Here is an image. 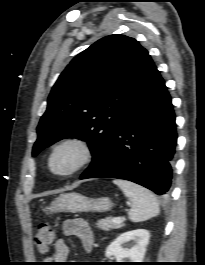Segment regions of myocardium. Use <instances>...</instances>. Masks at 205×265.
I'll return each mask as SVG.
<instances>
[{"instance_id":"f54148a6","label":"myocardium","mask_w":205,"mask_h":265,"mask_svg":"<svg viewBox=\"0 0 205 265\" xmlns=\"http://www.w3.org/2000/svg\"><path fill=\"white\" fill-rule=\"evenodd\" d=\"M65 146H73L75 147L79 152V157L77 162L67 171L64 172H58L55 171L52 167V159L55 153L65 147ZM94 157V150L92 145L87 141L86 139L78 136H71L66 137L57 143H55L49 150L47 157H46V168L48 172L59 178H67L71 177L78 172H80L82 169H84L86 166H88Z\"/></svg>"}]
</instances>
